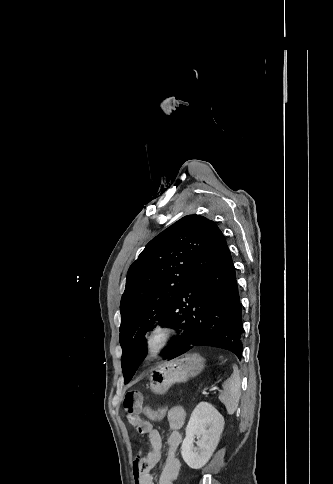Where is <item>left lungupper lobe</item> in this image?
Instances as JSON below:
<instances>
[{
    "label": "left lung upper lobe",
    "instance_id": "left-lung-upper-lobe-1",
    "mask_svg": "<svg viewBox=\"0 0 333 484\" xmlns=\"http://www.w3.org/2000/svg\"><path fill=\"white\" fill-rule=\"evenodd\" d=\"M213 221L187 215L153 238L130 266L121 298L119 340L127 384L147 355L145 334L164 311Z\"/></svg>",
    "mask_w": 333,
    "mask_h": 484
}]
</instances>
